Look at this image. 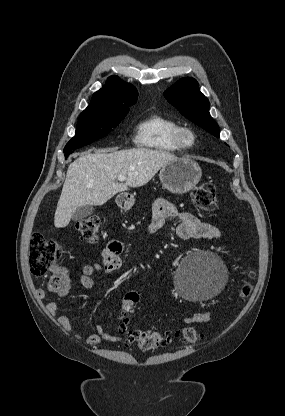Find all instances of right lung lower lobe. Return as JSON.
<instances>
[{
    "instance_id": "1",
    "label": "right lung lower lobe",
    "mask_w": 285,
    "mask_h": 416,
    "mask_svg": "<svg viewBox=\"0 0 285 416\" xmlns=\"http://www.w3.org/2000/svg\"><path fill=\"white\" fill-rule=\"evenodd\" d=\"M71 153L72 151L65 152V158H67Z\"/></svg>"
}]
</instances>
